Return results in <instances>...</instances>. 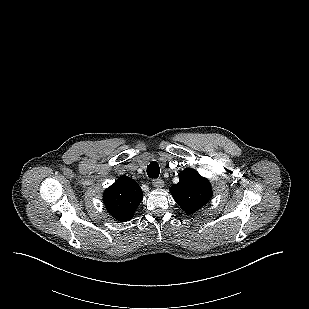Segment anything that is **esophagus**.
<instances>
[{
	"instance_id": "esophagus-1",
	"label": "esophagus",
	"mask_w": 309,
	"mask_h": 309,
	"mask_svg": "<svg viewBox=\"0 0 309 309\" xmlns=\"http://www.w3.org/2000/svg\"><path fill=\"white\" fill-rule=\"evenodd\" d=\"M152 184L155 188H162L164 187V181L160 178L153 179Z\"/></svg>"
}]
</instances>
